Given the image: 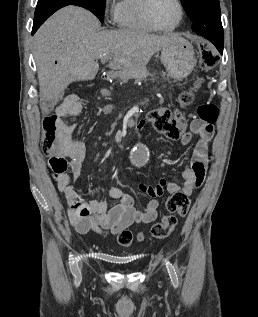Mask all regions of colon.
Listing matches in <instances>:
<instances>
[{
    "instance_id": "1",
    "label": "colon",
    "mask_w": 258,
    "mask_h": 317,
    "mask_svg": "<svg viewBox=\"0 0 258 317\" xmlns=\"http://www.w3.org/2000/svg\"><path fill=\"white\" fill-rule=\"evenodd\" d=\"M200 62L203 69H212L217 63V56L212 50L204 48L200 52ZM192 99V93L186 92L181 95L180 101L182 104H190ZM46 105L51 106L52 102L47 101ZM218 115L219 109L214 104H203L198 108L199 119L206 123L214 124ZM148 119L158 133L168 138L179 139L184 134L185 121L182 114L177 110L157 108L148 114ZM63 131L62 117L57 111L45 116L42 143L46 153H52L54 155L58 153L63 143ZM189 207L190 199L188 195L182 192L171 194L165 203L166 213L159 222L152 226L151 234L153 237L157 239L168 237L177 224V218L174 214L184 217ZM139 239L142 240L143 236L140 235ZM117 241L121 246H130L133 242L132 232L128 230L120 232Z\"/></svg>"
}]
</instances>
